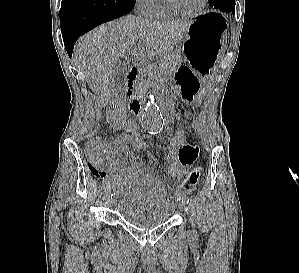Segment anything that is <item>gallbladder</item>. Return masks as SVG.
Masks as SVG:
<instances>
[{
  "instance_id": "obj_1",
  "label": "gallbladder",
  "mask_w": 299,
  "mask_h": 273,
  "mask_svg": "<svg viewBox=\"0 0 299 273\" xmlns=\"http://www.w3.org/2000/svg\"><path fill=\"white\" fill-rule=\"evenodd\" d=\"M129 67L118 61L109 79V90L112 98H123L126 91V75Z\"/></svg>"
}]
</instances>
